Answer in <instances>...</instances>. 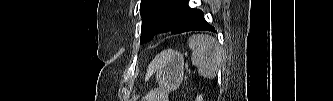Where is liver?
<instances>
[{
    "instance_id": "obj_1",
    "label": "liver",
    "mask_w": 333,
    "mask_h": 101,
    "mask_svg": "<svg viewBox=\"0 0 333 101\" xmlns=\"http://www.w3.org/2000/svg\"><path fill=\"white\" fill-rule=\"evenodd\" d=\"M159 68V62H158V57L156 60L150 63L148 70H147V75L146 77H149L153 72L157 71Z\"/></svg>"
}]
</instances>
